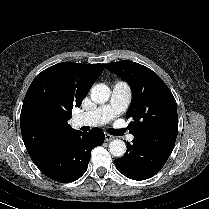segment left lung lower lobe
<instances>
[{
	"label": "left lung lower lobe",
	"mask_w": 209,
	"mask_h": 209,
	"mask_svg": "<svg viewBox=\"0 0 209 209\" xmlns=\"http://www.w3.org/2000/svg\"><path fill=\"white\" fill-rule=\"evenodd\" d=\"M127 153L115 160L116 168L132 180H145L158 173L169 158L175 142L152 141L134 137Z\"/></svg>",
	"instance_id": "1"
}]
</instances>
